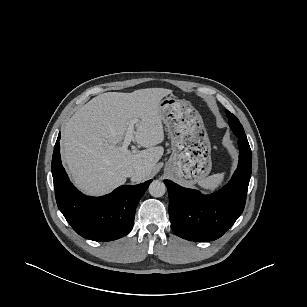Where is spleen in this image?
Masks as SVG:
<instances>
[{"mask_svg": "<svg viewBox=\"0 0 307 307\" xmlns=\"http://www.w3.org/2000/svg\"><path fill=\"white\" fill-rule=\"evenodd\" d=\"M224 177H225L224 172L211 175V176L205 178L204 180H202L199 183V186L206 191L213 192V191L217 190L222 185V183L224 181Z\"/></svg>", "mask_w": 307, "mask_h": 307, "instance_id": "obj_1", "label": "spleen"}]
</instances>
